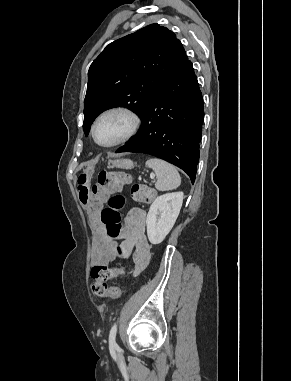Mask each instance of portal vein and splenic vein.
<instances>
[{
    "label": "portal vein and splenic vein",
    "instance_id": "obj_1",
    "mask_svg": "<svg viewBox=\"0 0 291 381\" xmlns=\"http://www.w3.org/2000/svg\"><path fill=\"white\" fill-rule=\"evenodd\" d=\"M154 177H155L154 175H151V179H154Z\"/></svg>",
    "mask_w": 291,
    "mask_h": 381
}]
</instances>
